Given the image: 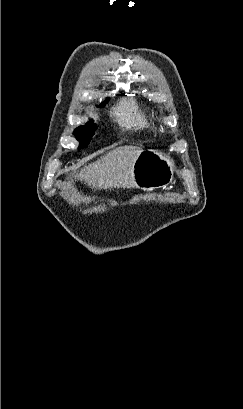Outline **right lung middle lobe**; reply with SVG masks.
Listing matches in <instances>:
<instances>
[{
    "mask_svg": "<svg viewBox=\"0 0 243 409\" xmlns=\"http://www.w3.org/2000/svg\"><path fill=\"white\" fill-rule=\"evenodd\" d=\"M108 102V99L101 104V107H104V105ZM96 125L92 123V121L86 123L84 126L78 127L74 130V135L77 138V140L80 142L79 149H82L86 147L90 140L92 139V136L95 133Z\"/></svg>",
    "mask_w": 243,
    "mask_h": 409,
    "instance_id": "right-lung-middle-lobe-1",
    "label": "right lung middle lobe"
}]
</instances>
